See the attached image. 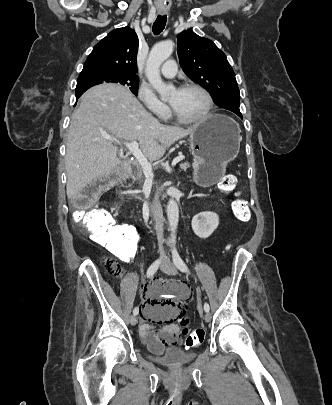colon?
Segmentation results:
<instances>
[{"mask_svg":"<svg viewBox=\"0 0 332 405\" xmlns=\"http://www.w3.org/2000/svg\"><path fill=\"white\" fill-rule=\"evenodd\" d=\"M112 177L113 174L102 176L89 184L73 198L72 203L75 211L72 215V222L78 229L87 230L94 241L105 243V256H121L119 261L124 263L126 260L136 259L137 243L139 241L137 231H130V226L126 223L118 224L111 213L105 209L87 208L90 202L110 186L113 180ZM237 183V177L233 174H228L222 177L219 186L224 192H232L235 190ZM232 210L238 220L247 222L250 219V211L245 199L237 198L234 200ZM118 228L121 229L117 230ZM107 266L112 276L117 274L119 264L116 260H108ZM171 288L186 287L174 285ZM175 321L181 328V338L184 340L183 346L188 351H199L204 334H208L209 332L208 325H196L194 330L189 331V325L194 324V317L190 316L187 311L176 318Z\"/></svg>","mask_w":332,"mask_h":405,"instance_id":"obj_1","label":"colon"}]
</instances>
